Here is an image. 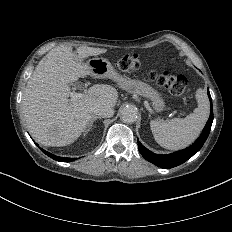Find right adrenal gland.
<instances>
[{
  "mask_svg": "<svg viewBox=\"0 0 232 232\" xmlns=\"http://www.w3.org/2000/svg\"><path fill=\"white\" fill-rule=\"evenodd\" d=\"M100 117L99 116H92V118L88 121V124L86 126V128L84 129V133H83V136H86V134L90 131V129L92 128L93 126V123L99 119Z\"/></svg>",
  "mask_w": 232,
  "mask_h": 232,
  "instance_id": "obj_1",
  "label": "right adrenal gland"
}]
</instances>
